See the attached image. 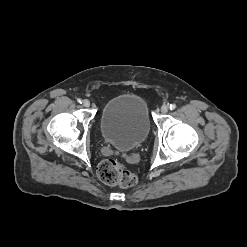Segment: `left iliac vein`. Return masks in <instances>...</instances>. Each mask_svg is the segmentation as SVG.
I'll return each mask as SVG.
<instances>
[{"label":"left iliac vein","instance_id":"4c4485c4","mask_svg":"<svg viewBox=\"0 0 247 247\" xmlns=\"http://www.w3.org/2000/svg\"><path fill=\"white\" fill-rule=\"evenodd\" d=\"M168 110H169V107H168V105H166V104H164V105L161 107V112H162L163 114H166V113L168 112Z\"/></svg>","mask_w":247,"mask_h":247}]
</instances>
